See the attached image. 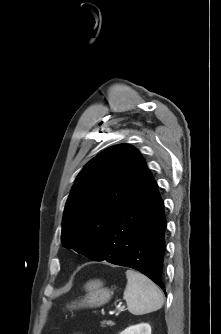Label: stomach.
Instances as JSON below:
<instances>
[{
	"mask_svg": "<svg viewBox=\"0 0 221 334\" xmlns=\"http://www.w3.org/2000/svg\"><path fill=\"white\" fill-rule=\"evenodd\" d=\"M87 294L79 302H73L68 306L70 309L76 308H95L106 304L112 297L113 292L103 287V282L100 280H91L85 285Z\"/></svg>",
	"mask_w": 221,
	"mask_h": 334,
	"instance_id": "1",
	"label": "stomach"
}]
</instances>
